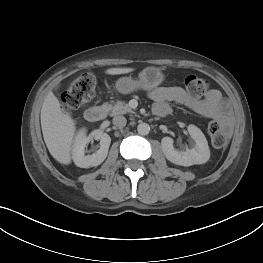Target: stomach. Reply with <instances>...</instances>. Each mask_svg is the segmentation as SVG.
<instances>
[{"mask_svg": "<svg viewBox=\"0 0 263 263\" xmlns=\"http://www.w3.org/2000/svg\"><path fill=\"white\" fill-rule=\"evenodd\" d=\"M164 80L161 70L157 67H146L139 73L138 79L121 77L115 83V89L122 94H129L138 89L150 90L160 85Z\"/></svg>", "mask_w": 263, "mask_h": 263, "instance_id": "stomach-1", "label": "stomach"}]
</instances>
